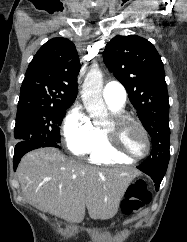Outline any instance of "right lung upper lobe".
<instances>
[{"label":"right lung upper lobe","instance_id":"cb5924a9","mask_svg":"<svg viewBox=\"0 0 187 242\" xmlns=\"http://www.w3.org/2000/svg\"><path fill=\"white\" fill-rule=\"evenodd\" d=\"M79 70L75 45L66 38L49 40L28 66L17 108H69L78 93Z\"/></svg>","mask_w":187,"mask_h":242}]
</instances>
